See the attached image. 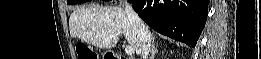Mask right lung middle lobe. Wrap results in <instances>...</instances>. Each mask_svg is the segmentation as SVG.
<instances>
[{
    "label": "right lung middle lobe",
    "instance_id": "dd1d6c3e",
    "mask_svg": "<svg viewBox=\"0 0 261 59\" xmlns=\"http://www.w3.org/2000/svg\"><path fill=\"white\" fill-rule=\"evenodd\" d=\"M88 0H71L69 2H67V4H79V3H83V2H87Z\"/></svg>",
    "mask_w": 261,
    "mask_h": 59
}]
</instances>
